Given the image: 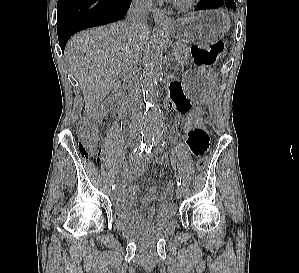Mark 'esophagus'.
<instances>
[{
	"label": "esophagus",
	"mask_w": 299,
	"mask_h": 273,
	"mask_svg": "<svg viewBox=\"0 0 299 273\" xmlns=\"http://www.w3.org/2000/svg\"><path fill=\"white\" fill-rule=\"evenodd\" d=\"M153 19L155 23H170L171 20L160 10H156L153 13Z\"/></svg>",
	"instance_id": "esophagus-1"
}]
</instances>
